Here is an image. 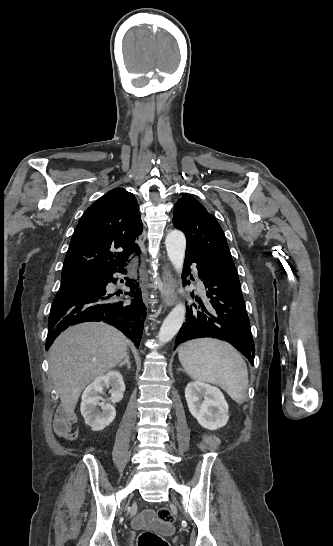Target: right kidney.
<instances>
[{
    "label": "right kidney",
    "mask_w": 333,
    "mask_h": 546,
    "mask_svg": "<svg viewBox=\"0 0 333 546\" xmlns=\"http://www.w3.org/2000/svg\"><path fill=\"white\" fill-rule=\"evenodd\" d=\"M109 387H111L110 401L112 403L120 402L123 399L125 384L122 374L115 370L98 376L85 388L82 394L80 411L85 423L93 431L103 430L113 422L116 416V410L111 404L102 405V411L97 408L100 400H102L99 394H102L104 389Z\"/></svg>",
    "instance_id": "ca27d5eb"
}]
</instances>
